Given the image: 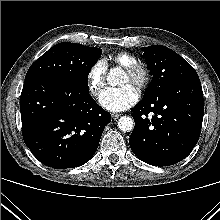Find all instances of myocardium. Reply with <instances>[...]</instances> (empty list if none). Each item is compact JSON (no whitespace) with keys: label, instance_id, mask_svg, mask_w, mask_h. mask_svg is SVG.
I'll return each instance as SVG.
<instances>
[{"label":"myocardium","instance_id":"myocardium-1","mask_svg":"<svg viewBox=\"0 0 220 220\" xmlns=\"http://www.w3.org/2000/svg\"><path fill=\"white\" fill-rule=\"evenodd\" d=\"M125 71L130 76L132 84H134L139 90L145 89L150 83V71L143 64L136 63L125 68Z\"/></svg>","mask_w":220,"mask_h":220}]
</instances>
